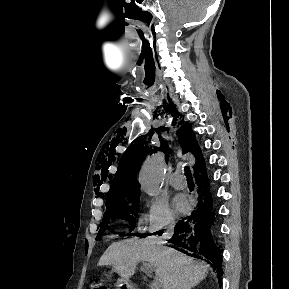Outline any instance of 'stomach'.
I'll return each instance as SVG.
<instances>
[{"label": "stomach", "instance_id": "stomach-1", "mask_svg": "<svg viewBox=\"0 0 289 289\" xmlns=\"http://www.w3.org/2000/svg\"><path fill=\"white\" fill-rule=\"evenodd\" d=\"M117 287L118 289H133L132 284L129 281V279H126L123 277L117 281Z\"/></svg>", "mask_w": 289, "mask_h": 289}]
</instances>
